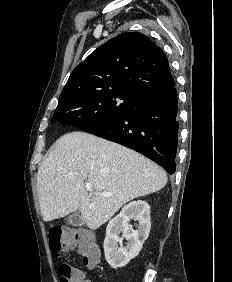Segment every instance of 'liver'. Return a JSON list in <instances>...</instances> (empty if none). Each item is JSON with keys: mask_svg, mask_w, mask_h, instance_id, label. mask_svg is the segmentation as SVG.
Instances as JSON below:
<instances>
[{"mask_svg": "<svg viewBox=\"0 0 232 282\" xmlns=\"http://www.w3.org/2000/svg\"><path fill=\"white\" fill-rule=\"evenodd\" d=\"M166 183L165 171L143 155L81 131L61 136L37 173L44 221L79 209L92 230L106 223L128 201L159 191ZM86 184L92 186V193L86 190Z\"/></svg>", "mask_w": 232, "mask_h": 282, "instance_id": "obj_1", "label": "liver"}]
</instances>
